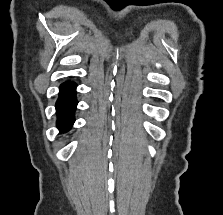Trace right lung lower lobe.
<instances>
[{
    "instance_id": "1",
    "label": "right lung lower lobe",
    "mask_w": 223,
    "mask_h": 215,
    "mask_svg": "<svg viewBox=\"0 0 223 215\" xmlns=\"http://www.w3.org/2000/svg\"><path fill=\"white\" fill-rule=\"evenodd\" d=\"M76 84L65 82L60 85L59 98L56 102L57 127L61 132L70 130L74 123V112L78 101L75 97Z\"/></svg>"
}]
</instances>
